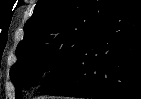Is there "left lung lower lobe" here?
Listing matches in <instances>:
<instances>
[{
	"instance_id": "1",
	"label": "left lung lower lobe",
	"mask_w": 141,
	"mask_h": 99,
	"mask_svg": "<svg viewBox=\"0 0 141 99\" xmlns=\"http://www.w3.org/2000/svg\"><path fill=\"white\" fill-rule=\"evenodd\" d=\"M43 94L141 99V0H119L65 77Z\"/></svg>"
}]
</instances>
